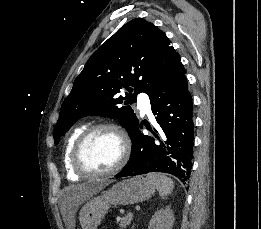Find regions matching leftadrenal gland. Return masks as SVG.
Wrapping results in <instances>:
<instances>
[{"instance_id":"1","label":"left adrenal gland","mask_w":261,"mask_h":229,"mask_svg":"<svg viewBox=\"0 0 261 229\" xmlns=\"http://www.w3.org/2000/svg\"><path fill=\"white\" fill-rule=\"evenodd\" d=\"M131 229H134V225H133V227H131Z\"/></svg>"}]
</instances>
